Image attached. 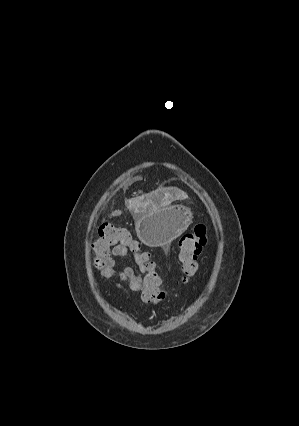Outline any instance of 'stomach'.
<instances>
[{"label":"stomach","instance_id":"1","mask_svg":"<svg viewBox=\"0 0 299 426\" xmlns=\"http://www.w3.org/2000/svg\"><path fill=\"white\" fill-rule=\"evenodd\" d=\"M193 214L184 205L160 206L135 220V230L142 243L149 247H163L184 233Z\"/></svg>","mask_w":299,"mask_h":426}]
</instances>
